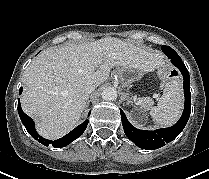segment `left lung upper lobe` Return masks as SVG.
<instances>
[{
	"instance_id": "left-lung-upper-lobe-1",
	"label": "left lung upper lobe",
	"mask_w": 209,
	"mask_h": 179,
	"mask_svg": "<svg viewBox=\"0 0 209 179\" xmlns=\"http://www.w3.org/2000/svg\"><path fill=\"white\" fill-rule=\"evenodd\" d=\"M162 50H163V52L172 51V48L169 46H162Z\"/></svg>"
}]
</instances>
